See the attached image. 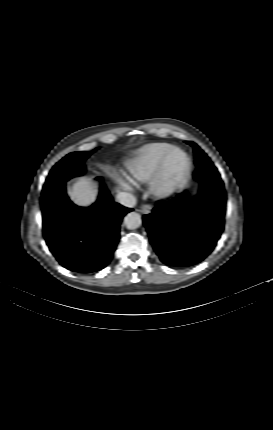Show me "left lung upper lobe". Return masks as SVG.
Wrapping results in <instances>:
<instances>
[{
    "mask_svg": "<svg viewBox=\"0 0 273 430\" xmlns=\"http://www.w3.org/2000/svg\"><path fill=\"white\" fill-rule=\"evenodd\" d=\"M186 143L191 145L194 148L197 167L212 163L210 158L200 149L199 146H197L195 143L190 141H186Z\"/></svg>",
    "mask_w": 273,
    "mask_h": 430,
    "instance_id": "obj_1",
    "label": "left lung upper lobe"
}]
</instances>
